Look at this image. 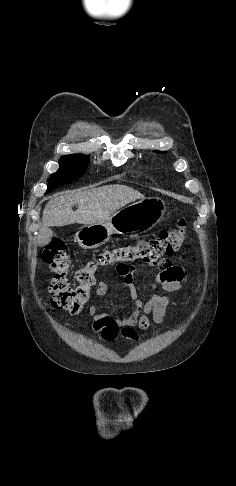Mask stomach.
Returning a JSON list of instances; mask_svg holds the SVG:
<instances>
[{
  "label": "stomach",
  "mask_w": 236,
  "mask_h": 486,
  "mask_svg": "<svg viewBox=\"0 0 236 486\" xmlns=\"http://www.w3.org/2000/svg\"><path fill=\"white\" fill-rule=\"evenodd\" d=\"M166 206L158 197H148L130 203L106 221L82 226L75 240L84 249H94L106 243L112 234H128L152 229L163 218Z\"/></svg>",
  "instance_id": "0dacf381"
}]
</instances>
